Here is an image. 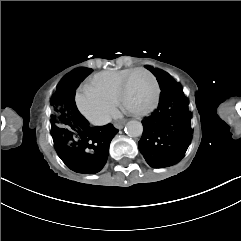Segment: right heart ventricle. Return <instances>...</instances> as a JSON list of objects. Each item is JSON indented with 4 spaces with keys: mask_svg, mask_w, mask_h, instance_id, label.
Wrapping results in <instances>:
<instances>
[{
    "mask_svg": "<svg viewBox=\"0 0 241 241\" xmlns=\"http://www.w3.org/2000/svg\"><path fill=\"white\" fill-rule=\"evenodd\" d=\"M132 69L125 70H105L89 77L83 85L93 84L100 88V90L112 97L114 103L119 100V81L124 79L126 73ZM82 85V86H83ZM112 103V102H111Z\"/></svg>",
    "mask_w": 241,
    "mask_h": 241,
    "instance_id": "1",
    "label": "right heart ventricle"
}]
</instances>
